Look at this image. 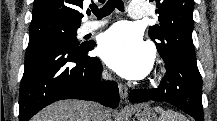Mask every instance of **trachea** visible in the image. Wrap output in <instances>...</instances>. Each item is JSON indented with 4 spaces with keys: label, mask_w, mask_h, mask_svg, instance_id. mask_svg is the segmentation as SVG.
Masks as SVG:
<instances>
[{
    "label": "trachea",
    "mask_w": 217,
    "mask_h": 121,
    "mask_svg": "<svg viewBox=\"0 0 217 121\" xmlns=\"http://www.w3.org/2000/svg\"><path fill=\"white\" fill-rule=\"evenodd\" d=\"M90 8L97 18L101 19L110 15L115 8L120 11H124V4L122 0H108L107 3L100 9L96 5H92Z\"/></svg>",
    "instance_id": "3493384b"
}]
</instances>
